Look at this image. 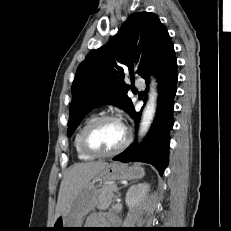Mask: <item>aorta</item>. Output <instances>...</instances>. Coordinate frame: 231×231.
Listing matches in <instances>:
<instances>
[{
	"instance_id": "1",
	"label": "aorta",
	"mask_w": 231,
	"mask_h": 231,
	"mask_svg": "<svg viewBox=\"0 0 231 231\" xmlns=\"http://www.w3.org/2000/svg\"><path fill=\"white\" fill-rule=\"evenodd\" d=\"M152 83L154 84L149 92V97L147 104L144 108L142 113L140 126H139V138L140 140L147 134L149 131L151 124L154 120L156 114V107H157V87L155 85V80L152 79Z\"/></svg>"
}]
</instances>
